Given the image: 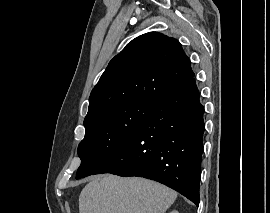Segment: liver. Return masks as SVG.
<instances>
[{
    "instance_id": "1",
    "label": "liver",
    "mask_w": 270,
    "mask_h": 213,
    "mask_svg": "<svg viewBox=\"0 0 270 213\" xmlns=\"http://www.w3.org/2000/svg\"><path fill=\"white\" fill-rule=\"evenodd\" d=\"M177 193L143 178L99 175L82 189L79 213H165Z\"/></svg>"
}]
</instances>
